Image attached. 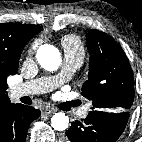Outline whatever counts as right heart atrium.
<instances>
[{
	"label": "right heart atrium",
	"instance_id": "1",
	"mask_svg": "<svg viewBox=\"0 0 142 142\" xmlns=\"http://www.w3.org/2000/svg\"><path fill=\"white\" fill-rule=\"evenodd\" d=\"M37 49V44L33 45L29 51H28V54H27V59H31L34 55V52L35 50Z\"/></svg>",
	"mask_w": 142,
	"mask_h": 142
}]
</instances>
